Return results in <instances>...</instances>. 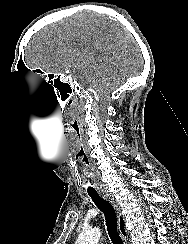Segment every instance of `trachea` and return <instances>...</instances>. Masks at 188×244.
Masks as SVG:
<instances>
[{
  "label": "trachea",
  "instance_id": "3493384b",
  "mask_svg": "<svg viewBox=\"0 0 188 244\" xmlns=\"http://www.w3.org/2000/svg\"><path fill=\"white\" fill-rule=\"evenodd\" d=\"M88 195L95 205L104 213L108 235L114 244H123L118 233L117 215L112 204L99 196L94 189V183H87Z\"/></svg>",
  "mask_w": 188,
  "mask_h": 244
}]
</instances>
